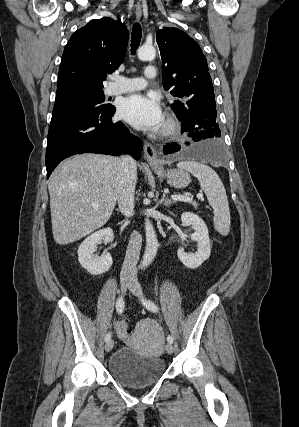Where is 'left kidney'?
Listing matches in <instances>:
<instances>
[{
    "instance_id": "obj_1",
    "label": "left kidney",
    "mask_w": 299,
    "mask_h": 427,
    "mask_svg": "<svg viewBox=\"0 0 299 427\" xmlns=\"http://www.w3.org/2000/svg\"><path fill=\"white\" fill-rule=\"evenodd\" d=\"M181 221L183 226H191L194 230L191 240L197 242L198 248L196 253H186L183 248H180L177 255L187 268L195 269L207 260L211 253L208 228L203 219L192 212L183 213Z\"/></svg>"
}]
</instances>
